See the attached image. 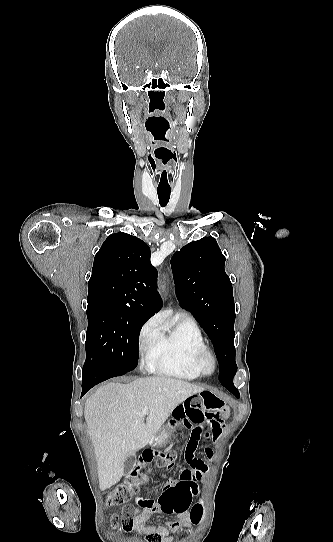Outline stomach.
I'll return each mask as SVG.
<instances>
[{
	"label": "stomach",
	"mask_w": 333,
	"mask_h": 542,
	"mask_svg": "<svg viewBox=\"0 0 333 542\" xmlns=\"http://www.w3.org/2000/svg\"><path fill=\"white\" fill-rule=\"evenodd\" d=\"M187 400H200L201 410H204V412H219L222 406H224V400L220 396H217V394L210 392V390H203V392L196 394L195 397H188ZM171 418L174 421L170 423L167 420L166 424L160 428L153 440L149 442L150 446H165V444L170 442L172 432H174V428L178 424V420L174 416H171Z\"/></svg>",
	"instance_id": "0dacf381"
}]
</instances>
